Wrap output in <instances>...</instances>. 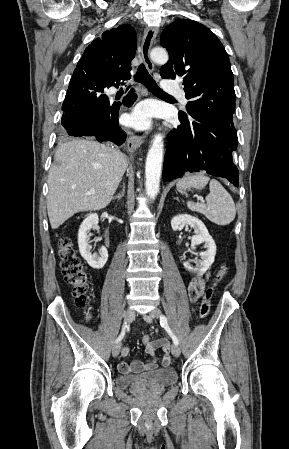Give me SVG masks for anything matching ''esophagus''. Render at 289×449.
Masks as SVG:
<instances>
[{
    "instance_id": "obj_1",
    "label": "esophagus",
    "mask_w": 289,
    "mask_h": 449,
    "mask_svg": "<svg viewBox=\"0 0 289 449\" xmlns=\"http://www.w3.org/2000/svg\"><path fill=\"white\" fill-rule=\"evenodd\" d=\"M157 33L158 29L156 27L153 26L146 27L140 48L142 59L148 71L151 73L154 71V64L150 58V50L157 36ZM141 144H142V137L131 133L128 139V149L130 151H135L141 146Z\"/></svg>"
}]
</instances>
